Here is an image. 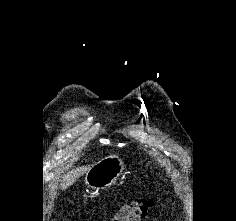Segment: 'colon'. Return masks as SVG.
<instances>
[{"instance_id": "colon-1", "label": "colon", "mask_w": 236, "mask_h": 221, "mask_svg": "<svg viewBox=\"0 0 236 221\" xmlns=\"http://www.w3.org/2000/svg\"><path fill=\"white\" fill-rule=\"evenodd\" d=\"M154 206L151 199H139L123 204L109 221H143Z\"/></svg>"}]
</instances>
